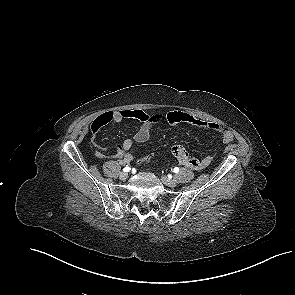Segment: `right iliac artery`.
<instances>
[{"label":"right iliac artery","instance_id":"obj_1","mask_svg":"<svg viewBox=\"0 0 295 295\" xmlns=\"http://www.w3.org/2000/svg\"><path fill=\"white\" fill-rule=\"evenodd\" d=\"M124 172H129L130 171V167L126 166L124 169H123Z\"/></svg>","mask_w":295,"mask_h":295}]
</instances>
